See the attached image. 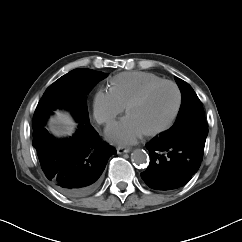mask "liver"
<instances>
[{
    "instance_id": "obj_1",
    "label": "liver",
    "mask_w": 242,
    "mask_h": 242,
    "mask_svg": "<svg viewBox=\"0 0 242 242\" xmlns=\"http://www.w3.org/2000/svg\"><path fill=\"white\" fill-rule=\"evenodd\" d=\"M51 131L56 135H71L75 128V123L68 114L57 113V116L49 122Z\"/></svg>"
}]
</instances>
